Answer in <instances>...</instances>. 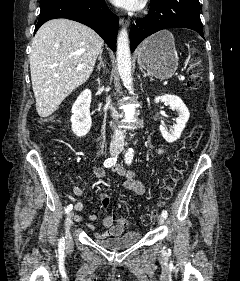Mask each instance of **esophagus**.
<instances>
[{
    "label": "esophagus",
    "mask_w": 240,
    "mask_h": 281,
    "mask_svg": "<svg viewBox=\"0 0 240 281\" xmlns=\"http://www.w3.org/2000/svg\"><path fill=\"white\" fill-rule=\"evenodd\" d=\"M120 24L124 27V28H129L130 22L124 18H120Z\"/></svg>",
    "instance_id": "esophagus-1"
}]
</instances>
